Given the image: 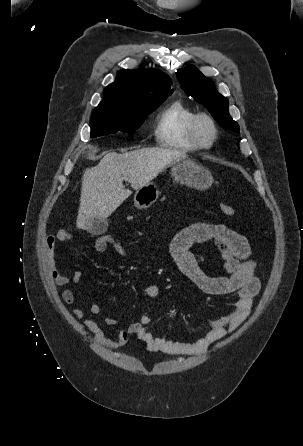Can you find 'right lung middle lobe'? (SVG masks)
Returning <instances> with one entry per match:
<instances>
[{"label": "right lung middle lobe", "mask_w": 303, "mask_h": 446, "mask_svg": "<svg viewBox=\"0 0 303 446\" xmlns=\"http://www.w3.org/2000/svg\"><path fill=\"white\" fill-rule=\"evenodd\" d=\"M162 103L144 110L95 109L92 114L91 138L116 133H131L138 129L144 118Z\"/></svg>", "instance_id": "1"}]
</instances>
